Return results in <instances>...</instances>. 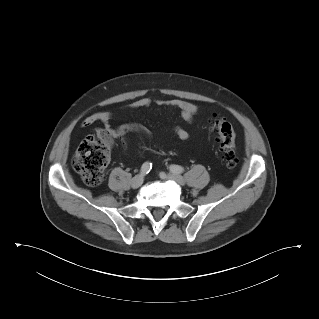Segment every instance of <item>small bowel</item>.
I'll list each match as a JSON object with an SVG mask.
<instances>
[{"label":"small bowel","mask_w":319,"mask_h":319,"mask_svg":"<svg viewBox=\"0 0 319 319\" xmlns=\"http://www.w3.org/2000/svg\"><path fill=\"white\" fill-rule=\"evenodd\" d=\"M154 104L158 106H164V107L178 110L181 116L183 117V119L187 122H192L199 111V107L192 102H187V101H183L179 99H162V98L151 99L148 97H142L133 101L128 106V108L147 109ZM111 118H112V113L110 111H101V112H97L87 116L84 119L83 124L92 125L96 122H101L103 123L104 127L97 128L95 130L98 136L107 137V138L118 137L121 134L122 130L115 128L111 125L110 123ZM130 129L144 135L148 139L153 138L152 130L145 125L135 124ZM173 130L175 135L182 141H186L190 138L189 131L181 125L174 126Z\"/></svg>","instance_id":"c3829d8e"}]
</instances>
